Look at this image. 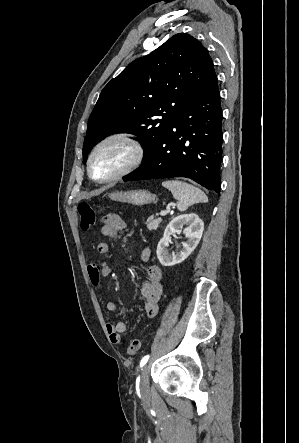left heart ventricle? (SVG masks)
Listing matches in <instances>:
<instances>
[{"instance_id": "left-heart-ventricle-1", "label": "left heart ventricle", "mask_w": 299, "mask_h": 443, "mask_svg": "<svg viewBox=\"0 0 299 443\" xmlns=\"http://www.w3.org/2000/svg\"><path fill=\"white\" fill-rule=\"evenodd\" d=\"M130 151L120 142L105 145L96 155L92 173L96 178L107 177L119 170L129 159Z\"/></svg>"}]
</instances>
